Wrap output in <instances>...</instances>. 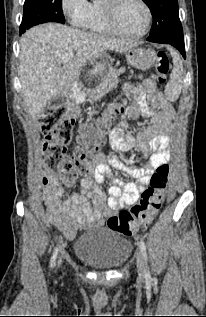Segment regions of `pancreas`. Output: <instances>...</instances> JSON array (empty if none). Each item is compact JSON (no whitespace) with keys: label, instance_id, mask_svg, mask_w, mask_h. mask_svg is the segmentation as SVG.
<instances>
[{"label":"pancreas","instance_id":"obj_1","mask_svg":"<svg viewBox=\"0 0 206 317\" xmlns=\"http://www.w3.org/2000/svg\"><path fill=\"white\" fill-rule=\"evenodd\" d=\"M125 71L124 68L115 69V72H112L111 75H106L101 84L98 87H91V91L82 92L83 94L87 95L90 103H93L98 98L104 96L106 93H114L115 88L119 82V76ZM72 105H76L73 103Z\"/></svg>","mask_w":206,"mask_h":317}]
</instances>
